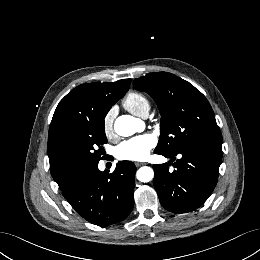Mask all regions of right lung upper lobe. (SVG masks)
Masks as SVG:
<instances>
[{"mask_svg": "<svg viewBox=\"0 0 260 260\" xmlns=\"http://www.w3.org/2000/svg\"><path fill=\"white\" fill-rule=\"evenodd\" d=\"M130 82V79H123L114 83L82 84L58 104L49 127L47 150L51 174L60 188L76 173L69 148L77 129L87 120L100 118L102 107L122 98Z\"/></svg>", "mask_w": 260, "mask_h": 260, "instance_id": "obj_1", "label": "right lung upper lobe"}]
</instances>
